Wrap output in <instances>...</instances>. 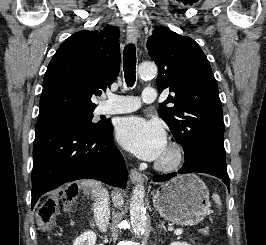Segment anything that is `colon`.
Masks as SVG:
<instances>
[{
	"mask_svg": "<svg viewBox=\"0 0 266 245\" xmlns=\"http://www.w3.org/2000/svg\"><path fill=\"white\" fill-rule=\"evenodd\" d=\"M65 202L62 195L46 199L38 208V226L45 231H49L54 225V219L57 216L59 208ZM202 236L210 234L209 227H202L199 230Z\"/></svg>",
	"mask_w": 266,
	"mask_h": 245,
	"instance_id": "colon-1",
	"label": "colon"
}]
</instances>
